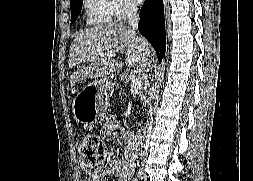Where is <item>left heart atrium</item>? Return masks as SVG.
I'll use <instances>...</instances> for the list:
<instances>
[{"label": "left heart atrium", "mask_w": 253, "mask_h": 181, "mask_svg": "<svg viewBox=\"0 0 253 181\" xmlns=\"http://www.w3.org/2000/svg\"><path fill=\"white\" fill-rule=\"evenodd\" d=\"M134 3H136V4H139V3H141L143 0H132Z\"/></svg>", "instance_id": "1"}]
</instances>
